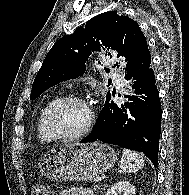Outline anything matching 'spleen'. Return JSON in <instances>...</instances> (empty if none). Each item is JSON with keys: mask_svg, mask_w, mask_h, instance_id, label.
Listing matches in <instances>:
<instances>
[{"mask_svg": "<svg viewBox=\"0 0 189 195\" xmlns=\"http://www.w3.org/2000/svg\"><path fill=\"white\" fill-rule=\"evenodd\" d=\"M144 166V159L142 156L131 150L124 149L120 161V168L123 172H136Z\"/></svg>", "mask_w": 189, "mask_h": 195, "instance_id": "1", "label": "spleen"}]
</instances>
